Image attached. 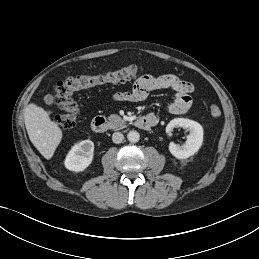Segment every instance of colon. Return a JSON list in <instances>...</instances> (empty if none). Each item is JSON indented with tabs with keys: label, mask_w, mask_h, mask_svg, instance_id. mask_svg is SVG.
<instances>
[{
	"label": "colon",
	"mask_w": 259,
	"mask_h": 259,
	"mask_svg": "<svg viewBox=\"0 0 259 259\" xmlns=\"http://www.w3.org/2000/svg\"><path fill=\"white\" fill-rule=\"evenodd\" d=\"M142 69L137 66L125 67L104 74L70 77L57 83L55 102L61 110L57 123L62 129H73L77 124L78 105L73 99V94L82 89L106 83H123L137 77ZM209 112L213 117H218L221 110L216 105H211Z\"/></svg>",
	"instance_id": "obj_1"
}]
</instances>
